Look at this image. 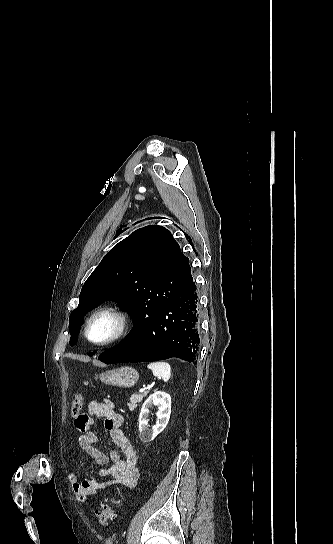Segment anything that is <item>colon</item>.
<instances>
[{"instance_id":"colon-1","label":"colon","mask_w":333,"mask_h":544,"mask_svg":"<svg viewBox=\"0 0 333 544\" xmlns=\"http://www.w3.org/2000/svg\"><path fill=\"white\" fill-rule=\"evenodd\" d=\"M87 385V382H85ZM84 403V397L82 393H77L71 404V415L74 419H77L80 415ZM116 497H110L106 499L100 510L96 512V520L102 527H108L111 520L115 517L114 505L117 503Z\"/></svg>"}]
</instances>
